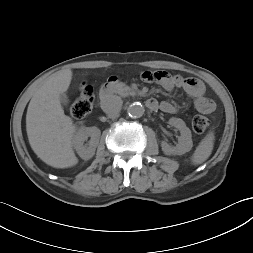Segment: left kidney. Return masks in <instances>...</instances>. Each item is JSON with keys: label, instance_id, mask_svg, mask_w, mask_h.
<instances>
[{"label": "left kidney", "instance_id": "left-kidney-1", "mask_svg": "<svg viewBox=\"0 0 253 253\" xmlns=\"http://www.w3.org/2000/svg\"><path fill=\"white\" fill-rule=\"evenodd\" d=\"M169 124L177 128L180 131L181 136L176 146H170L166 142H162L161 143L162 151L166 155H181L186 152H189L193 146L190 129L186 126L185 122L180 118L175 117L170 118Z\"/></svg>", "mask_w": 253, "mask_h": 253}]
</instances>
